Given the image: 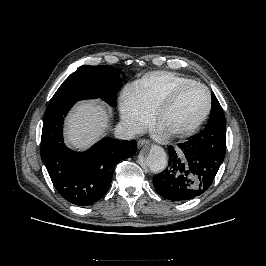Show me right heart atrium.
Returning <instances> with one entry per match:
<instances>
[{
    "mask_svg": "<svg viewBox=\"0 0 266 266\" xmlns=\"http://www.w3.org/2000/svg\"><path fill=\"white\" fill-rule=\"evenodd\" d=\"M119 112L124 128L131 134L142 131L152 119L151 113L129 88L120 97Z\"/></svg>",
    "mask_w": 266,
    "mask_h": 266,
    "instance_id": "right-heart-atrium-1",
    "label": "right heart atrium"
}]
</instances>
